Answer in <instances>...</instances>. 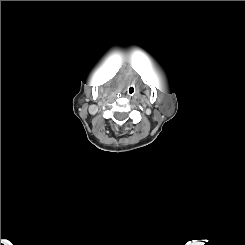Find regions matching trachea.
Segmentation results:
<instances>
[{
	"label": "trachea",
	"mask_w": 245,
	"mask_h": 245,
	"mask_svg": "<svg viewBox=\"0 0 245 245\" xmlns=\"http://www.w3.org/2000/svg\"><path fill=\"white\" fill-rule=\"evenodd\" d=\"M127 93L130 96H133L136 93V86L133 83H131V84L128 85V87H127Z\"/></svg>",
	"instance_id": "1"
}]
</instances>
